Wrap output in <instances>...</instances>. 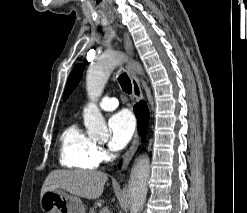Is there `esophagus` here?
I'll use <instances>...</instances> for the list:
<instances>
[{"label": "esophagus", "mask_w": 247, "mask_h": 213, "mask_svg": "<svg viewBox=\"0 0 247 213\" xmlns=\"http://www.w3.org/2000/svg\"><path fill=\"white\" fill-rule=\"evenodd\" d=\"M124 45H125V49H126L128 56L130 58L133 57V55H134L133 44H132V41L130 39L129 34L126 32L124 33ZM126 71H127V74L131 80L132 93H133L135 100L136 101L142 100L143 99V93H142V90L140 87V83H139L134 71L132 70L130 61L126 65ZM138 144H139V138L136 135L130 148L128 149V151L126 152V154L124 156L123 168H126L128 166V164L130 163L132 157L134 156V154L137 150Z\"/></svg>", "instance_id": "esophagus-1"}]
</instances>
